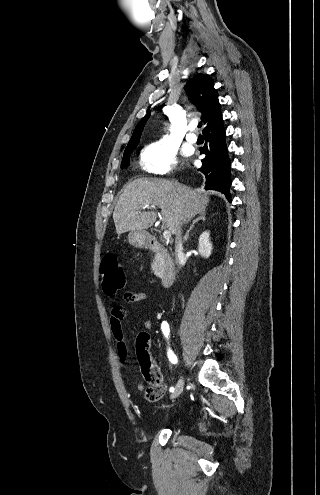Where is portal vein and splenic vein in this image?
<instances>
[{
	"instance_id": "18ae733b",
	"label": "portal vein and splenic vein",
	"mask_w": 320,
	"mask_h": 495,
	"mask_svg": "<svg viewBox=\"0 0 320 495\" xmlns=\"http://www.w3.org/2000/svg\"><path fill=\"white\" fill-rule=\"evenodd\" d=\"M145 208L150 209V208H154V207H149V206H146ZM145 208H143V209H145ZM170 237H171V232H170V230H165V231L163 232V238H164L165 240H169V239H170Z\"/></svg>"
}]
</instances>
